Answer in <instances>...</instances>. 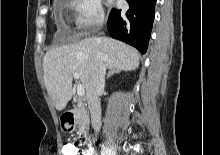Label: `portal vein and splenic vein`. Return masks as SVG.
Listing matches in <instances>:
<instances>
[{
  "label": "portal vein and splenic vein",
  "instance_id": "portal-vein-and-splenic-vein-1",
  "mask_svg": "<svg viewBox=\"0 0 220 155\" xmlns=\"http://www.w3.org/2000/svg\"><path fill=\"white\" fill-rule=\"evenodd\" d=\"M73 77H74V79H79V74L77 73V72H74L73 73ZM84 93H85V88H84V86L82 85V84H78L77 85V95L79 96V97H83L84 96Z\"/></svg>",
  "mask_w": 220,
  "mask_h": 155
}]
</instances>
